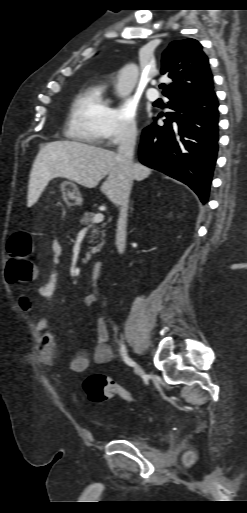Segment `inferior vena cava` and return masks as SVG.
<instances>
[{"mask_svg":"<svg viewBox=\"0 0 247 513\" xmlns=\"http://www.w3.org/2000/svg\"><path fill=\"white\" fill-rule=\"evenodd\" d=\"M137 131L135 128H127L121 137L119 147L117 150V157L124 165L125 172L128 175L134 173L135 165L133 162L134 156V148L136 144ZM129 195L130 188L126 186H122V191L120 192L119 197L115 201L120 207V214L118 220V230L116 236V246L117 250L120 254H122L125 250V225L127 219V212L129 207Z\"/></svg>","mask_w":247,"mask_h":513,"instance_id":"inferior-vena-cava-1","label":"inferior vena cava"}]
</instances>
